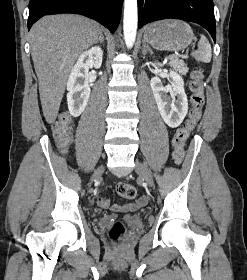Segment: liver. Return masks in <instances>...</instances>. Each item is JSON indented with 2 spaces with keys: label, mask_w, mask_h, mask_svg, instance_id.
I'll use <instances>...</instances> for the list:
<instances>
[{
  "label": "liver",
  "mask_w": 247,
  "mask_h": 280,
  "mask_svg": "<svg viewBox=\"0 0 247 280\" xmlns=\"http://www.w3.org/2000/svg\"><path fill=\"white\" fill-rule=\"evenodd\" d=\"M101 34L99 24L79 15H48L30 30L31 55L39 80L43 115L52 124L77 58Z\"/></svg>",
  "instance_id": "liver-1"
}]
</instances>
